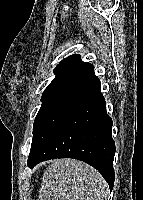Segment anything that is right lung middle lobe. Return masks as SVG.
Segmentation results:
<instances>
[{
    "label": "right lung middle lobe",
    "mask_w": 143,
    "mask_h": 200,
    "mask_svg": "<svg viewBox=\"0 0 143 200\" xmlns=\"http://www.w3.org/2000/svg\"><path fill=\"white\" fill-rule=\"evenodd\" d=\"M62 82V80L60 79H54L49 86L45 89V91L43 92V95L41 97V101L44 102L45 99L49 96V94L56 88L59 86V84Z\"/></svg>",
    "instance_id": "1"
}]
</instances>
